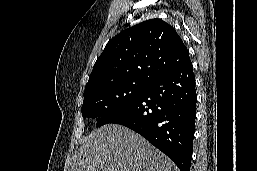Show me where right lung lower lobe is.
I'll list each match as a JSON object with an SVG mask.
<instances>
[{
  "label": "right lung lower lobe",
  "mask_w": 257,
  "mask_h": 171,
  "mask_svg": "<svg viewBox=\"0 0 257 171\" xmlns=\"http://www.w3.org/2000/svg\"><path fill=\"white\" fill-rule=\"evenodd\" d=\"M196 102L195 76L189 62L151 82L105 124L127 126L169 156L180 171H190Z\"/></svg>",
  "instance_id": "obj_1"
}]
</instances>
